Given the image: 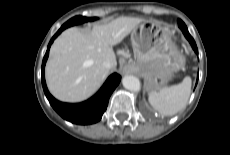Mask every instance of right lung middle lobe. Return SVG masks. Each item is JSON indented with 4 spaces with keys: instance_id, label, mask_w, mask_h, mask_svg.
Wrapping results in <instances>:
<instances>
[{
    "instance_id": "1",
    "label": "right lung middle lobe",
    "mask_w": 230,
    "mask_h": 155,
    "mask_svg": "<svg viewBox=\"0 0 230 155\" xmlns=\"http://www.w3.org/2000/svg\"><path fill=\"white\" fill-rule=\"evenodd\" d=\"M97 18L95 17H83V16H75L73 18H71L69 21H67L62 27L63 29H66L67 27L76 25V24H80V23H84V22H88V21H93L96 20Z\"/></svg>"
}]
</instances>
